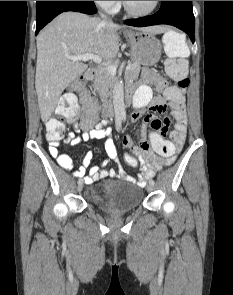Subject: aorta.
<instances>
[{
	"label": "aorta",
	"instance_id": "obj_1",
	"mask_svg": "<svg viewBox=\"0 0 233 295\" xmlns=\"http://www.w3.org/2000/svg\"><path fill=\"white\" fill-rule=\"evenodd\" d=\"M114 110L117 115L125 116L124 90L123 83L120 81L113 93Z\"/></svg>",
	"mask_w": 233,
	"mask_h": 295
}]
</instances>
